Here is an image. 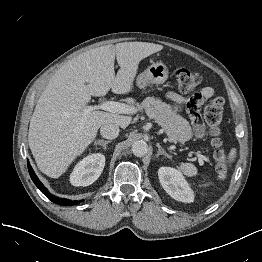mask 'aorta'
Returning a JSON list of instances; mask_svg holds the SVG:
<instances>
[{
    "instance_id": "aorta-1",
    "label": "aorta",
    "mask_w": 262,
    "mask_h": 262,
    "mask_svg": "<svg viewBox=\"0 0 262 262\" xmlns=\"http://www.w3.org/2000/svg\"><path fill=\"white\" fill-rule=\"evenodd\" d=\"M132 152L137 157H143L148 152V145L143 140L135 141L132 144Z\"/></svg>"
}]
</instances>
